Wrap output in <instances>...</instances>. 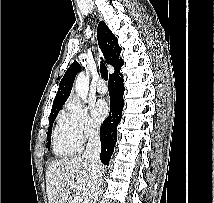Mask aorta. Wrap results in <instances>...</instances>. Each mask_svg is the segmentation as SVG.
Here are the masks:
<instances>
[{"label": "aorta", "instance_id": "aorta-1", "mask_svg": "<svg viewBox=\"0 0 214 203\" xmlns=\"http://www.w3.org/2000/svg\"><path fill=\"white\" fill-rule=\"evenodd\" d=\"M75 91L78 96L84 101H87L89 92V76L81 72L77 75L75 80Z\"/></svg>", "mask_w": 214, "mask_h": 203}]
</instances>
